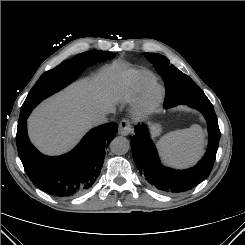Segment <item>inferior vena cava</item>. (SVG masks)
I'll use <instances>...</instances> for the list:
<instances>
[{
	"label": "inferior vena cava",
	"instance_id": "1",
	"mask_svg": "<svg viewBox=\"0 0 245 245\" xmlns=\"http://www.w3.org/2000/svg\"><path fill=\"white\" fill-rule=\"evenodd\" d=\"M107 121L108 118L105 116V114H100L94 119L95 124L106 123Z\"/></svg>",
	"mask_w": 245,
	"mask_h": 245
}]
</instances>
